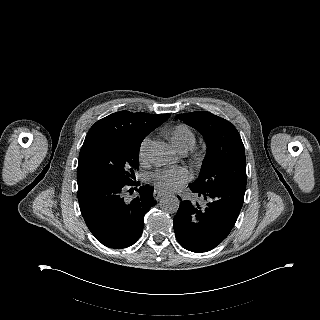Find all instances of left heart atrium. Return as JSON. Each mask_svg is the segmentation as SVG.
Returning <instances> with one entry per match:
<instances>
[{"mask_svg":"<svg viewBox=\"0 0 320 320\" xmlns=\"http://www.w3.org/2000/svg\"><path fill=\"white\" fill-rule=\"evenodd\" d=\"M150 179L166 191H175L188 180V173L181 168L163 169L151 174Z\"/></svg>","mask_w":320,"mask_h":320,"instance_id":"left-heart-atrium-1","label":"left heart atrium"}]
</instances>
